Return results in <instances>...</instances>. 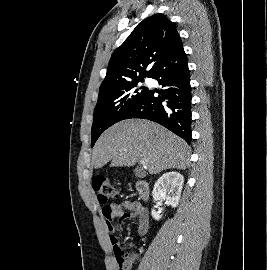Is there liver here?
Masks as SVG:
<instances>
[{"label": "liver", "instance_id": "obj_1", "mask_svg": "<svg viewBox=\"0 0 267 270\" xmlns=\"http://www.w3.org/2000/svg\"><path fill=\"white\" fill-rule=\"evenodd\" d=\"M188 144L164 127L142 119L120 121L108 128L93 149L95 169L111 161V166H132L145 161L150 174L167 169L184 170L189 164Z\"/></svg>", "mask_w": 267, "mask_h": 270}]
</instances>
